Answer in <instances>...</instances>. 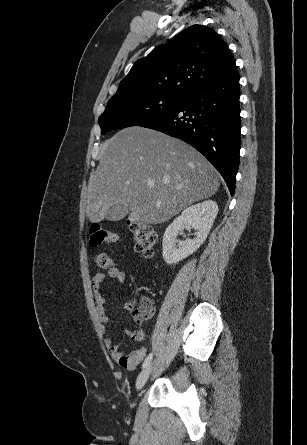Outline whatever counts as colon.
Returning a JSON list of instances; mask_svg holds the SVG:
<instances>
[{
    "instance_id": "1",
    "label": "colon",
    "mask_w": 307,
    "mask_h": 445,
    "mask_svg": "<svg viewBox=\"0 0 307 445\" xmlns=\"http://www.w3.org/2000/svg\"><path fill=\"white\" fill-rule=\"evenodd\" d=\"M130 229L133 235L136 251L145 257H150L154 253L157 243L156 232L146 224L132 222ZM118 241L116 233L103 228L100 224L94 223L89 229V245L97 247L101 244H113ZM95 262L99 269L109 270L113 268V260L106 252L100 251L95 254ZM134 321L138 324L148 320L154 313V306L148 299L142 300L139 306L130 307ZM143 332L139 330L136 339H143Z\"/></svg>"
}]
</instances>
